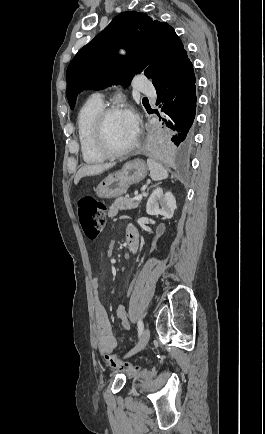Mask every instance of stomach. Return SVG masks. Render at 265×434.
I'll list each match as a JSON object with an SVG mask.
<instances>
[{
	"label": "stomach",
	"instance_id": "0dacf381",
	"mask_svg": "<svg viewBox=\"0 0 265 434\" xmlns=\"http://www.w3.org/2000/svg\"><path fill=\"white\" fill-rule=\"evenodd\" d=\"M148 172L144 160L126 162L120 172L109 174L105 180L98 184L95 192L99 198H120L126 194L131 184H138L146 178Z\"/></svg>",
	"mask_w": 265,
	"mask_h": 434
}]
</instances>
